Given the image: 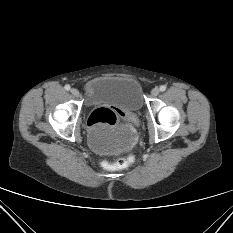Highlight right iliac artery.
Returning a JSON list of instances; mask_svg holds the SVG:
<instances>
[{"label": "right iliac artery", "instance_id": "right-iliac-artery-1", "mask_svg": "<svg viewBox=\"0 0 233 233\" xmlns=\"http://www.w3.org/2000/svg\"><path fill=\"white\" fill-rule=\"evenodd\" d=\"M71 89L70 85H65V90L69 91Z\"/></svg>", "mask_w": 233, "mask_h": 233}]
</instances>
